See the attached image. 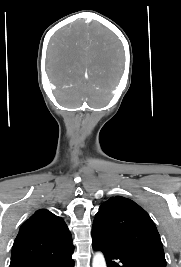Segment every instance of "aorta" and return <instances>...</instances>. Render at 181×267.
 Wrapping results in <instances>:
<instances>
[{
	"instance_id": "762f6f07",
	"label": "aorta",
	"mask_w": 181,
	"mask_h": 267,
	"mask_svg": "<svg viewBox=\"0 0 181 267\" xmlns=\"http://www.w3.org/2000/svg\"><path fill=\"white\" fill-rule=\"evenodd\" d=\"M92 267H106V261L101 252H96L93 256Z\"/></svg>"
}]
</instances>
